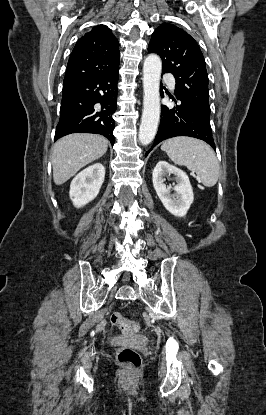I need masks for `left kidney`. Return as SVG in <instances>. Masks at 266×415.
I'll list each match as a JSON object with an SVG mask.
<instances>
[{"instance_id":"5707ae66","label":"left kidney","mask_w":266,"mask_h":415,"mask_svg":"<svg viewBox=\"0 0 266 415\" xmlns=\"http://www.w3.org/2000/svg\"><path fill=\"white\" fill-rule=\"evenodd\" d=\"M173 174L177 184L174 186V194H170L171 186H166L164 177ZM154 189L163 206L172 215L184 217L193 203L194 194L187 174L181 169L170 165L166 161H159L152 174Z\"/></svg>"}]
</instances>
